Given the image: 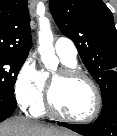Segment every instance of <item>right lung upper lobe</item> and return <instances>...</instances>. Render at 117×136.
<instances>
[{"label":"right lung upper lobe","mask_w":117,"mask_h":136,"mask_svg":"<svg viewBox=\"0 0 117 136\" xmlns=\"http://www.w3.org/2000/svg\"><path fill=\"white\" fill-rule=\"evenodd\" d=\"M27 0H0V55L27 58L32 41Z\"/></svg>","instance_id":"obj_1"}]
</instances>
